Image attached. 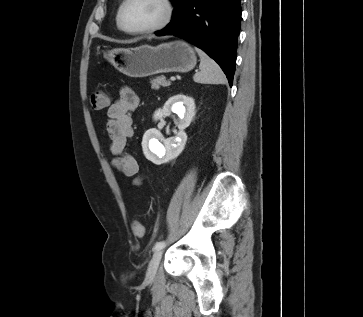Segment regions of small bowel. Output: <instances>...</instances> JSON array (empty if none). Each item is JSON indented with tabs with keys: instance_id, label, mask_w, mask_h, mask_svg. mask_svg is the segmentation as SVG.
I'll use <instances>...</instances> for the list:
<instances>
[{
	"instance_id": "obj_1",
	"label": "small bowel",
	"mask_w": 363,
	"mask_h": 317,
	"mask_svg": "<svg viewBox=\"0 0 363 317\" xmlns=\"http://www.w3.org/2000/svg\"><path fill=\"white\" fill-rule=\"evenodd\" d=\"M140 103L139 96L129 87L120 90L117 100L108 107L106 124L111 139L109 151L113 166L127 177H135L133 184L139 185L140 166L132 154L126 151L127 140L133 136L132 112Z\"/></svg>"
}]
</instances>
